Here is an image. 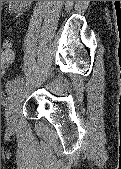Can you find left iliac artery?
I'll return each mask as SVG.
<instances>
[{
  "instance_id": "left-iliac-artery-1",
  "label": "left iliac artery",
  "mask_w": 121,
  "mask_h": 169,
  "mask_svg": "<svg viewBox=\"0 0 121 169\" xmlns=\"http://www.w3.org/2000/svg\"><path fill=\"white\" fill-rule=\"evenodd\" d=\"M23 83L24 81L20 77L12 80L9 84V95L12 97V95L21 87Z\"/></svg>"
}]
</instances>
